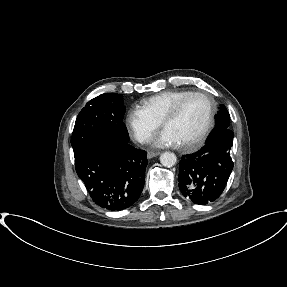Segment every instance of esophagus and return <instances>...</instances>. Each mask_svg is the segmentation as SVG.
Wrapping results in <instances>:
<instances>
[{"label": "esophagus", "mask_w": 287, "mask_h": 287, "mask_svg": "<svg viewBox=\"0 0 287 287\" xmlns=\"http://www.w3.org/2000/svg\"><path fill=\"white\" fill-rule=\"evenodd\" d=\"M160 155V152H148L147 156L148 158H153Z\"/></svg>", "instance_id": "34e87169"}]
</instances>
